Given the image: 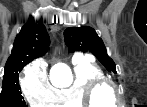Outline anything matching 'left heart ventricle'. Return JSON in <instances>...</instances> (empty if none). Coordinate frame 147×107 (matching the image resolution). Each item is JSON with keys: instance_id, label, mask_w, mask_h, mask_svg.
Masks as SVG:
<instances>
[{"instance_id": "left-heart-ventricle-1", "label": "left heart ventricle", "mask_w": 147, "mask_h": 107, "mask_svg": "<svg viewBox=\"0 0 147 107\" xmlns=\"http://www.w3.org/2000/svg\"><path fill=\"white\" fill-rule=\"evenodd\" d=\"M94 101L97 106L107 107L115 103L114 93L110 87H102L95 93Z\"/></svg>"}]
</instances>
